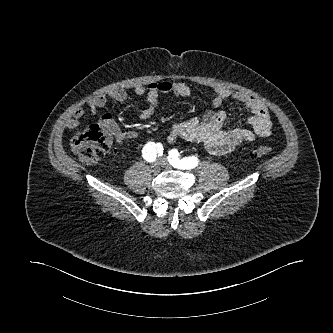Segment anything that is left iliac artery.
Listing matches in <instances>:
<instances>
[{
  "label": "left iliac artery",
  "instance_id": "obj_1",
  "mask_svg": "<svg viewBox=\"0 0 333 333\" xmlns=\"http://www.w3.org/2000/svg\"><path fill=\"white\" fill-rule=\"evenodd\" d=\"M168 159L172 166L179 169H192L197 166L199 162L198 158L195 156L181 159L177 149H172L169 151Z\"/></svg>",
  "mask_w": 333,
  "mask_h": 333
}]
</instances>
